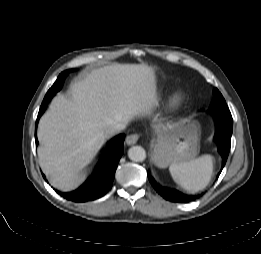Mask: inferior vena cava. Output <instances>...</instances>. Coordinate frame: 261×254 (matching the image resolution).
I'll return each mask as SVG.
<instances>
[{"label":"inferior vena cava","mask_w":261,"mask_h":254,"mask_svg":"<svg viewBox=\"0 0 261 254\" xmlns=\"http://www.w3.org/2000/svg\"><path fill=\"white\" fill-rule=\"evenodd\" d=\"M125 124L124 123H114L110 126L108 133L110 135H113L121 130H123L125 128Z\"/></svg>","instance_id":"obj_1"}]
</instances>
